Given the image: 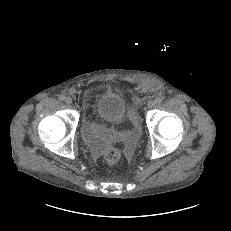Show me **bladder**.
Here are the masks:
<instances>
[{"label":"bladder","mask_w":231,"mask_h":231,"mask_svg":"<svg viewBox=\"0 0 231 231\" xmlns=\"http://www.w3.org/2000/svg\"><path fill=\"white\" fill-rule=\"evenodd\" d=\"M95 112L101 120L117 124L125 118L127 104L120 94L114 91H107L96 100Z\"/></svg>","instance_id":"1"}]
</instances>
